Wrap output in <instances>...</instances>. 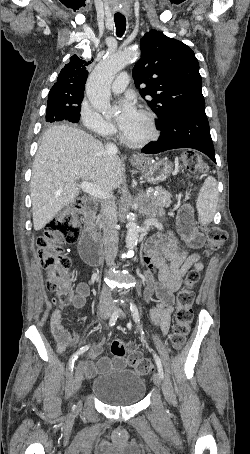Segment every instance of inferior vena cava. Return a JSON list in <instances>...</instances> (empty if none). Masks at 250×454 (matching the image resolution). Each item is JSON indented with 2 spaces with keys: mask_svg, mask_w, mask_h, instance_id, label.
<instances>
[{
  "mask_svg": "<svg viewBox=\"0 0 250 454\" xmlns=\"http://www.w3.org/2000/svg\"><path fill=\"white\" fill-rule=\"evenodd\" d=\"M105 149L110 154H116L118 149L113 143H107ZM101 227L103 230V242L105 249L106 263L111 266L114 264V259L117 253L118 246V231L115 216V207L112 202L105 201L101 204ZM111 291L108 288H103L100 296L102 305L111 304Z\"/></svg>",
  "mask_w": 250,
  "mask_h": 454,
  "instance_id": "602c4592",
  "label": "inferior vena cava"
}]
</instances>
